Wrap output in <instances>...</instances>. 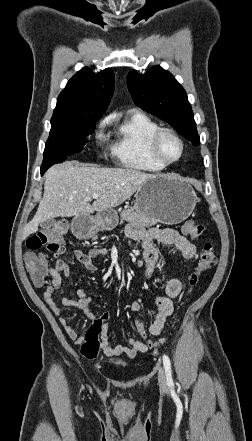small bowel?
<instances>
[{
  "mask_svg": "<svg viewBox=\"0 0 252 441\" xmlns=\"http://www.w3.org/2000/svg\"><path fill=\"white\" fill-rule=\"evenodd\" d=\"M127 234L132 239L136 240L143 248V256L145 261V276L150 278L155 270L158 260V251L153 245V241H158L164 246L170 248L173 252L179 251L187 260L192 259L196 253V246L180 235L173 229H158L150 228L145 230L139 226H130L127 229ZM63 252L54 253L56 258L55 266L49 269L51 277L50 284L44 291V300L51 311L58 317L60 324L64 327L67 335L76 343L81 344L83 337L70 325L68 320L63 316L60 305L54 299V292L59 290L62 285V277L68 278L70 276V267L67 262L60 258ZM107 253L106 249L97 248L89 252L82 250H75L74 257L80 262L84 268L89 272L96 271V266L93 260L96 257L103 256ZM182 291V283L178 279H171L167 282L165 293L159 295L155 299L157 312L155 313L151 324L149 325V332L152 335H158L168 317L173 313V300L179 296ZM78 299L73 300L66 296L62 297L61 304L67 307H74L81 309L87 318L94 320L97 318L95 312L91 309L92 297L86 293L83 288L77 290ZM131 310L138 314L141 311L139 302L131 304ZM129 346L113 345L109 341L108 326H103L101 332L100 346L102 351L109 357L123 356L126 359H133L138 353L145 352L147 346L142 341L135 337L128 338Z\"/></svg>",
  "mask_w": 252,
  "mask_h": 441,
  "instance_id": "obj_1",
  "label": "small bowel"
}]
</instances>
